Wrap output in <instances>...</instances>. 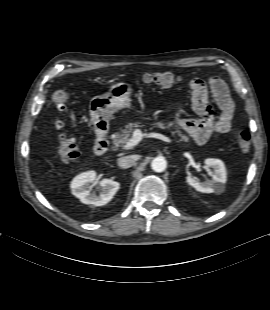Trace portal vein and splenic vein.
I'll return each instance as SVG.
<instances>
[{
	"mask_svg": "<svg viewBox=\"0 0 270 310\" xmlns=\"http://www.w3.org/2000/svg\"><path fill=\"white\" fill-rule=\"evenodd\" d=\"M143 137L157 138V139L163 140L168 143L171 142V140L168 137L164 136L163 134H160V133L143 134L141 130L135 129V131L133 132L132 138L124 145V149L128 150V149L133 148L143 139Z\"/></svg>",
	"mask_w": 270,
	"mask_h": 310,
	"instance_id": "18ae733b",
	"label": "portal vein and splenic vein"
}]
</instances>
